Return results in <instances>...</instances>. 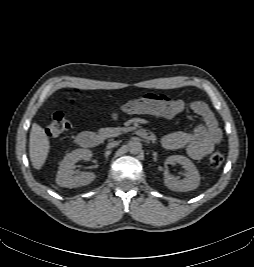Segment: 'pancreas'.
Listing matches in <instances>:
<instances>
[{
  "label": "pancreas",
  "instance_id": "cf45deb5",
  "mask_svg": "<svg viewBox=\"0 0 254 267\" xmlns=\"http://www.w3.org/2000/svg\"><path fill=\"white\" fill-rule=\"evenodd\" d=\"M125 129L121 127L117 128H101L98 133L102 138H110V137H115L122 133Z\"/></svg>",
  "mask_w": 254,
  "mask_h": 267
}]
</instances>
